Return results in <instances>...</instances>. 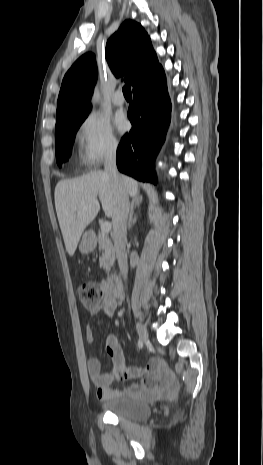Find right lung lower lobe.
Segmentation results:
<instances>
[{"label":"right lung lower lobe","mask_w":263,"mask_h":465,"mask_svg":"<svg viewBox=\"0 0 263 465\" xmlns=\"http://www.w3.org/2000/svg\"><path fill=\"white\" fill-rule=\"evenodd\" d=\"M128 109L132 129L117 150L118 169L140 181L155 182L154 159L166 136L171 104L163 68L133 87Z\"/></svg>","instance_id":"98d812e1"}]
</instances>
